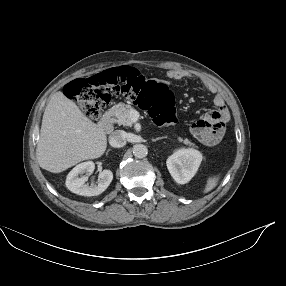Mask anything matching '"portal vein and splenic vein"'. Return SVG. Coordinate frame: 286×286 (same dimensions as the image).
I'll list each match as a JSON object with an SVG mask.
<instances>
[{"label":"portal vein and splenic vein","mask_w":286,"mask_h":286,"mask_svg":"<svg viewBox=\"0 0 286 286\" xmlns=\"http://www.w3.org/2000/svg\"><path fill=\"white\" fill-rule=\"evenodd\" d=\"M131 115H132V119H133V122H136L138 120V117H139V114L137 111L133 110L131 112Z\"/></svg>","instance_id":"obj_1"}]
</instances>
